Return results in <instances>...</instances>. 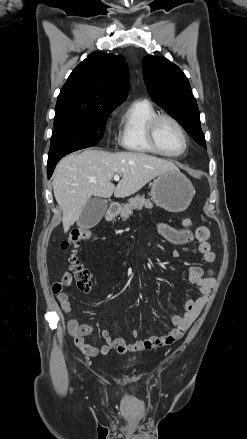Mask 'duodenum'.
I'll return each instance as SVG.
<instances>
[{"mask_svg":"<svg viewBox=\"0 0 247 439\" xmlns=\"http://www.w3.org/2000/svg\"><path fill=\"white\" fill-rule=\"evenodd\" d=\"M119 212V206L116 203H112L109 205L106 212V219H113Z\"/></svg>","mask_w":247,"mask_h":439,"instance_id":"410a0bca","label":"duodenum"}]
</instances>
